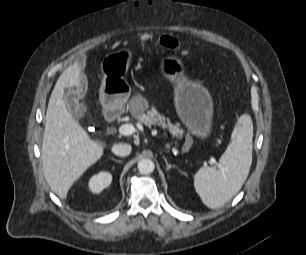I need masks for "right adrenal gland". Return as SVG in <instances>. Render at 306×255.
<instances>
[{
  "instance_id": "2a0ac1e0",
  "label": "right adrenal gland",
  "mask_w": 306,
  "mask_h": 255,
  "mask_svg": "<svg viewBox=\"0 0 306 255\" xmlns=\"http://www.w3.org/2000/svg\"><path fill=\"white\" fill-rule=\"evenodd\" d=\"M114 162H116V163H121V161L120 160H116V159H114V158H111Z\"/></svg>"
}]
</instances>
